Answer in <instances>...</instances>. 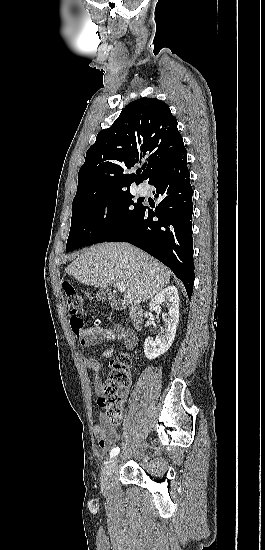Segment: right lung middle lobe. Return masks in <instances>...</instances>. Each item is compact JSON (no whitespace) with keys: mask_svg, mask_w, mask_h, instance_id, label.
Segmentation results:
<instances>
[{"mask_svg":"<svg viewBox=\"0 0 265 550\" xmlns=\"http://www.w3.org/2000/svg\"><path fill=\"white\" fill-rule=\"evenodd\" d=\"M106 206L111 212L104 218ZM143 206L133 200L129 190L89 199L75 197L66 251L106 241L131 222Z\"/></svg>","mask_w":265,"mask_h":550,"instance_id":"right-lung-middle-lobe-1","label":"right lung middle lobe"}]
</instances>
